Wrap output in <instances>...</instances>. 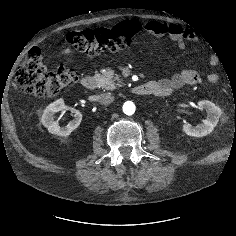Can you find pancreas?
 Segmentation results:
<instances>
[{
  "label": "pancreas",
  "mask_w": 236,
  "mask_h": 236,
  "mask_svg": "<svg viewBox=\"0 0 236 236\" xmlns=\"http://www.w3.org/2000/svg\"><path fill=\"white\" fill-rule=\"evenodd\" d=\"M95 78L98 82V85L102 89L113 90L116 87H121L122 82L118 76L115 75L114 70L110 68H106L101 71V73H97Z\"/></svg>",
  "instance_id": "1"
}]
</instances>
